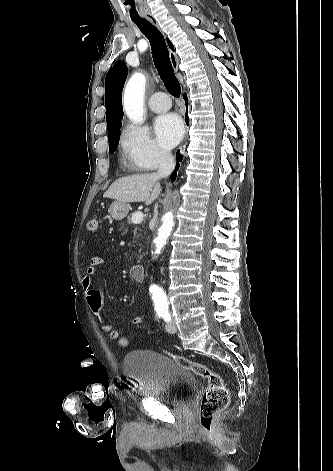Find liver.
<instances>
[{
	"mask_svg": "<svg viewBox=\"0 0 333 471\" xmlns=\"http://www.w3.org/2000/svg\"><path fill=\"white\" fill-rule=\"evenodd\" d=\"M159 179L156 173L121 177L111 184L103 196L124 203L145 202L150 205L161 192Z\"/></svg>",
	"mask_w": 333,
	"mask_h": 471,
	"instance_id": "liver-1",
	"label": "liver"
}]
</instances>
